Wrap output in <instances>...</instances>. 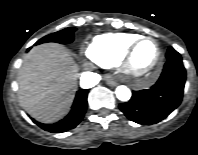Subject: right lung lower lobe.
<instances>
[{
    "label": "right lung lower lobe",
    "mask_w": 198,
    "mask_h": 155,
    "mask_svg": "<svg viewBox=\"0 0 198 155\" xmlns=\"http://www.w3.org/2000/svg\"><path fill=\"white\" fill-rule=\"evenodd\" d=\"M88 92L89 91L87 89H81L77 92L70 113L59 122L54 124H43L33 120L34 123H36L45 131L54 132V133L65 132L75 128L80 123L86 112Z\"/></svg>",
    "instance_id": "1"
}]
</instances>
